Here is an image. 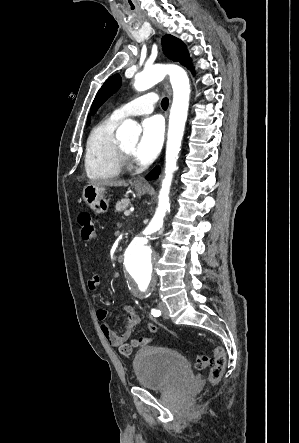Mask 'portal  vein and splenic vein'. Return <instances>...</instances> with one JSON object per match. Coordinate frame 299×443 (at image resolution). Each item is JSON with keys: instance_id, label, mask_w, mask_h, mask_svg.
<instances>
[{"instance_id": "18ae733b", "label": "portal vein and splenic vein", "mask_w": 299, "mask_h": 443, "mask_svg": "<svg viewBox=\"0 0 299 443\" xmlns=\"http://www.w3.org/2000/svg\"><path fill=\"white\" fill-rule=\"evenodd\" d=\"M130 211L129 210H126L125 212H124V215L127 217V216H130Z\"/></svg>"}]
</instances>
